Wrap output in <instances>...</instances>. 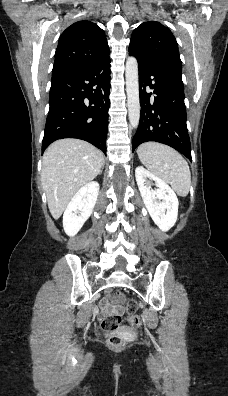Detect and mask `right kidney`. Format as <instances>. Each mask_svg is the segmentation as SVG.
I'll return each mask as SVG.
<instances>
[{
    "instance_id": "ca27d5eb",
    "label": "right kidney",
    "mask_w": 228,
    "mask_h": 396,
    "mask_svg": "<svg viewBox=\"0 0 228 396\" xmlns=\"http://www.w3.org/2000/svg\"><path fill=\"white\" fill-rule=\"evenodd\" d=\"M99 188L98 182H89L71 199L63 215V228L68 236H75L92 214Z\"/></svg>"
}]
</instances>
